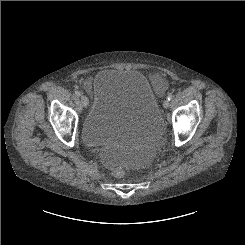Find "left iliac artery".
Listing matches in <instances>:
<instances>
[{"label":"left iliac artery","instance_id":"44dca946","mask_svg":"<svg viewBox=\"0 0 245 245\" xmlns=\"http://www.w3.org/2000/svg\"><path fill=\"white\" fill-rule=\"evenodd\" d=\"M172 98H173V95L171 93H169L167 96V99L170 101V100H172Z\"/></svg>","mask_w":245,"mask_h":245}]
</instances>
